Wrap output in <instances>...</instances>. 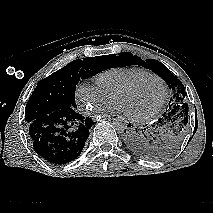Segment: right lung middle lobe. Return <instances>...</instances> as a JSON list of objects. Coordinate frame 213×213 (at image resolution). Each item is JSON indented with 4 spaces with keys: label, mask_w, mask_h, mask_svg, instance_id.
<instances>
[{
    "label": "right lung middle lobe",
    "mask_w": 213,
    "mask_h": 213,
    "mask_svg": "<svg viewBox=\"0 0 213 213\" xmlns=\"http://www.w3.org/2000/svg\"><path fill=\"white\" fill-rule=\"evenodd\" d=\"M111 56L74 60L41 80L26 105V124L63 108H76L75 88L79 80L108 69Z\"/></svg>",
    "instance_id": "dd1d6c3e"
}]
</instances>
